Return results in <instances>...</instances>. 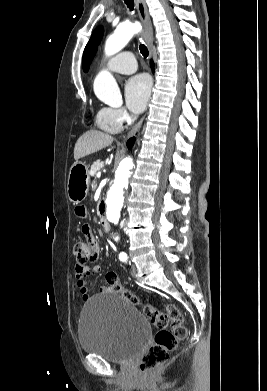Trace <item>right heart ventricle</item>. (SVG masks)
<instances>
[{
  "label": "right heart ventricle",
  "mask_w": 267,
  "mask_h": 391,
  "mask_svg": "<svg viewBox=\"0 0 267 391\" xmlns=\"http://www.w3.org/2000/svg\"><path fill=\"white\" fill-rule=\"evenodd\" d=\"M96 122L97 125L104 131L114 133L119 130V127L115 126L114 124L110 123L108 120L105 119L102 114V109L97 114Z\"/></svg>",
  "instance_id": "right-heart-ventricle-1"
}]
</instances>
